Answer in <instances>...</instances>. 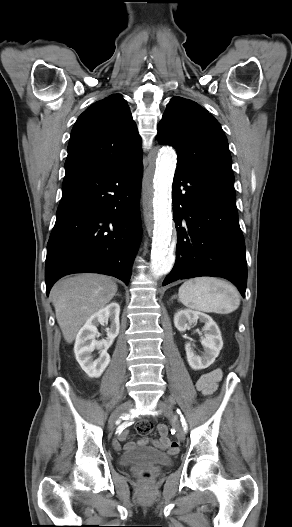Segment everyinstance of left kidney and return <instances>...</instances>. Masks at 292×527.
Instances as JSON below:
<instances>
[{"label":"left kidney","instance_id":"5707ae66","mask_svg":"<svg viewBox=\"0 0 292 527\" xmlns=\"http://www.w3.org/2000/svg\"><path fill=\"white\" fill-rule=\"evenodd\" d=\"M204 323L203 331L205 337L201 341L204 353L195 355L192 345L186 343V358L189 366L194 370H201L209 367L218 357L223 347L221 331L215 321L207 314L190 309L180 310L174 315V325L180 332H185L189 323L197 321Z\"/></svg>","mask_w":292,"mask_h":527}]
</instances>
